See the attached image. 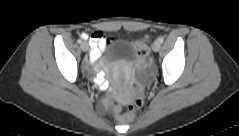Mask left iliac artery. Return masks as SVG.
<instances>
[{"instance_id":"obj_1","label":"left iliac artery","mask_w":239,"mask_h":136,"mask_svg":"<svg viewBox=\"0 0 239 136\" xmlns=\"http://www.w3.org/2000/svg\"><path fill=\"white\" fill-rule=\"evenodd\" d=\"M158 41H159L160 43H163L164 39L161 37V38L158 39Z\"/></svg>"}]
</instances>
